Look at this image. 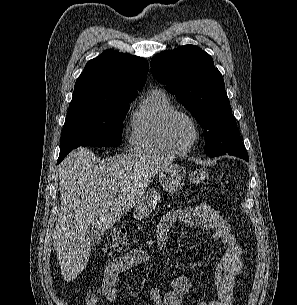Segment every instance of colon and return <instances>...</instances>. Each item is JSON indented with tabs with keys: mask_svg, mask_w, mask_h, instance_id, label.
<instances>
[{
	"mask_svg": "<svg viewBox=\"0 0 297 305\" xmlns=\"http://www.w3.org/2000/svg\"><path fill=\"white\" fill-rule=\"evenodd\" d=\"M191 182L195 185L205 184L209 180V172L206 169H195L190 175ZM128 246V238L125 229L114 228L110 231L105 251L108 257H114L124 251Z\"/></svg>",
	"mask_w": 297,
	"mask_h": 305,
	"instance_id": "1",
	"label": "colon"
}]
</instances>
